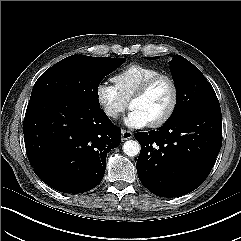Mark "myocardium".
I'll list each match as a JSON object with an SVG mask.
<instances>
[{
  "label": "myocardium",
  "mask_w": 241,
  "mask_h": 241,
  "mask_svg": "<svg viewBox=\"0 0 241 241\" xmlns=\"http://www.w3.org/2000/svg\"><path fill=\"white\" fill-rule=\"evenodd\" d=\"M161 80H166L171 85L172 99H171V103H170L168 109L166 110V112L157 120H154V121L148 123V126L151 128H157V127L164 125L165 123H167L170 120V118L175 113L177 105H178V101H179V87H178L176 80L168 74L160 73L158 75H155V76L149 78L143 84H141L129 98V107H130V104L133 100L141 98L144 95H146L148 93V91L157 82H159Z\"/></svg>",
  "instance_id": "obj_1"
}]
</instances>
